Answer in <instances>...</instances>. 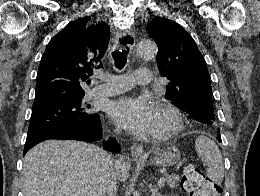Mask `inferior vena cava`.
<instances>
[{"label":"inferior vena cava","mask_w":260,"mask_h":196,"mask_svg":"<svg viewBox=\"0 0 260 196\" xmlns=\"http://www.w3.org/2000/svg\"><path fill=\"white\" fill-rule=\"evenodd\" d=\"M105 164H107L108 168V174H107V180H106V192L107 196H116L117 192V182H116V172L114 170V164H113V158L111 156H104L103 158ZM118 162V160H117ZM116 162V164H117ZM99 196H104L100 190Z\"/></svg>","instance_id":"602c4592"}]
</instances>
